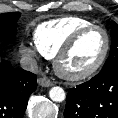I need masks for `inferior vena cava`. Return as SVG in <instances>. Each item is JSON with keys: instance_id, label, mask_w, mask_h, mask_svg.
<instances>
[{"instance_id": "1", "label": "inferior vena cava", "mask_w": 118, "mask_h": 118, "mask_svg": "<svg viewBox=\"0 0 118 118\" xmlns=\"http://www.w3.org/2000/svg\"><path fill=\"white\" fill-rule=\"evenodd\" d=\"M21 67L24 70L36 72L38 70L37 61L31 57H22L20 60Z\"/></svg>"}]
</instances>
